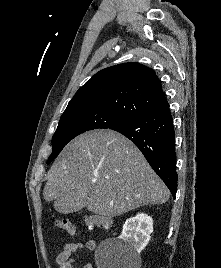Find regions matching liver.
Instances as JSON below:
<instances>
[{
	"mask_svg": "<svg viewBox=\"0 0 221 268\" xmlns=\"http://www.w3.org/2000/svg\"><path fill=\"white\" fill-rule=\"evenodd\" d=\"M43 196L59 213L86 207L116 217L165 203L170 193L130 140L112 130H94L65 146L48 172Z\"/></svg>",
	"mask_w": 221,
	"mask_h": 268,
	"instance_id": "6515ba94",
	"label": "liver"
}]
</instances>
